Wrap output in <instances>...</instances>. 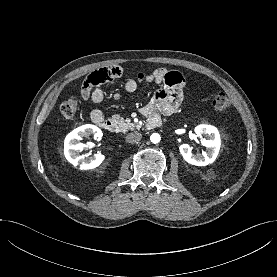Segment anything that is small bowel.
Segmentation results:
<instances>
[{"label":"small bowel","instance_id":"1","mask_svg":"<svg viewBox=\"0 0 277 277\" xmlns=\"http://www.w3.org/2000/svg\"><path fill=\"white\" fill-rule=\"evenodd\" d=\"M122 75V69L113 65L100 68L92 72L84 81L80 96L83 100H91L94 103H101L104 99V91L101 85L111 82ZM155 83L158 89L155 91L149 103L141 108L144 115H172L176 112L183 100L184 78L177 71H168L165 68H158L154 71L139 72L137 79H128L124 83V90L127 93H134L139 83ZM121 93L114 94V99H121ZM90 117L94 123L98 119L103 118L101 110L94 109L91 111Z\"/></svg>","mask_w":277,"mask_h":277}]
</instances>
